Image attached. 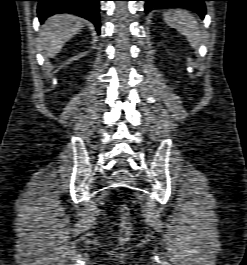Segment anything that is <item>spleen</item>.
Wrapping results in <instances>:
<instances>
[{"instance_id":"spleen-1","label":"spleen","mask_w":247,"mask_h":265,"mask_svg":"<svg viewBox=\"0 0 247 265\" xmlns=\"http://www.w3.org/2000/svg\"><path fill=\"white\" fill-rule=\"evenodd\" d=\"M165 22L187 37L194 48H198L201 35L196 19L185 10L171 9L163 14Z\"/></svg>"}]
</instances>
